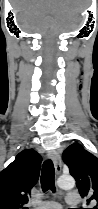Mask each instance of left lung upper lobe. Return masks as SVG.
Returning a JSON list of instances; mask_svg holds the SVG:
<instances>
[{
	"mask_svg": "<svg viewBox=\"0 0 98 209\" xmlns=\"http://www.w3.org/2000/svg\"><path fill=\"white\" fill-rule=\"evenodd\" d=\"M82 197L98 209V158L79 144L70 145L62 155Z\"/></svg>",
	"mask_w": 98,
	"mask_h": 209,
	"instance_id": "left-lung-upper-lobe-1",
	"label": "left lung upper lobe"
}]
</instances>
